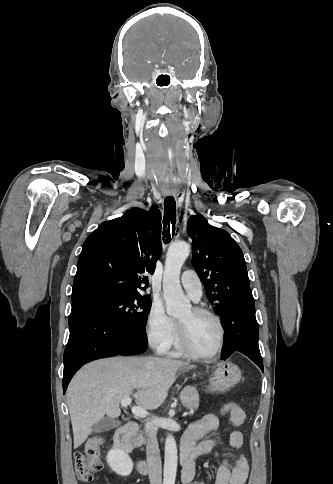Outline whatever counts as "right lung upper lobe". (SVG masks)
<instances>
[{
	"label": "right lung upper lobe",
	"mask_w": 333,
	"mask_h": 484,
	"mask_svg": "<svg viewBox=\"0 0 333 484\" xmlns=\"http://www.w3.org/2000/svg\"><path fill=\"white\" fill-rule=\"evenodd\" d=\"M161 213L132 208L105 221L83 244L73 282L72 300L98 291L138 294L162 253Z\"/></svg>",
	"instance_id": "right-lung-upper-lobe-1"
}]
</instances>
